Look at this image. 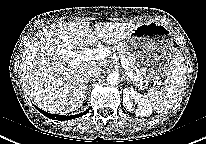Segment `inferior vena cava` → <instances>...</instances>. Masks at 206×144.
I'll list each match as a JSON object with an SVG mask.
<instances>
[{
    "mask_svg": "<svg viewBox=\"0 0 206 144\" xmlns=\"http://www.w3.org/2000/svg\"><path fill=\"white\" fill-rule=\"evenodd\" d=\"M101 72H102V68L100 66L92 65L88 68L86 72V79L89 81H93L96 78L100 77Z\"/></svg>",
    "mask_w": 206,
    "mask_h": 144,
    "instance_id": "1",
    "label": "inferior vena cava"
}]
</instances>
